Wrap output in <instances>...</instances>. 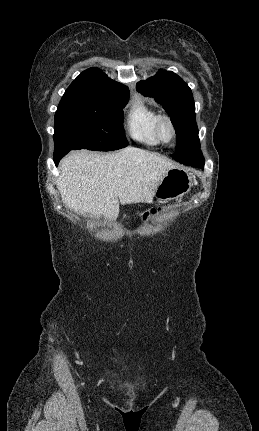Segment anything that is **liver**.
<instances>
[{
    "instance_id": "1",
    "label": "liver",
    "mask_w": 259,
    "mask_h": 431,
    "mask_svg": "<svg viewBox=\"0 0 259 431\" xmlns=\"http://www.w3.org/2000/svg\"><path fill=\"white\" fill-rule=\"evenodd\" d=\"M175 167L168 159L135 147L110 154L80 150L62 160L56 183L65 206L79 214L116 220L119 201L151 203L160 180Z\"/></svg>"
}]
</instances>
